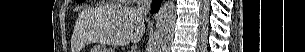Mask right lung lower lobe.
I'll use <instances>...</instances> for the list:
<instances>
[{
  "label": "right lung lower lobe",
  "mask_w": 305,
  "mask_h": 52,
  "mask_svg": "<svg viewBox=\"0 0 305 52\" xmlns=\"http://www.w3.org/2000/svg\"><path fill=\"white\" fill-rule=\"evenodd\" d=\"M161 1L162 0H153V2H152V13L157 12L159 10Z\"/></svg>",
  "instance_id": "98d812e1"
}]
</instances>
